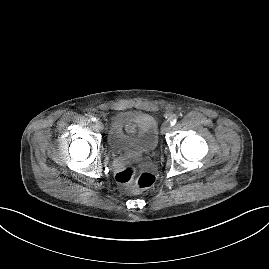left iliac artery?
Listing matches in <instances>:
<instances>
[{
    "label": "left iliac artery",
    "mask_w": 269,
    "mask_h": 269,
    "mask_svg": "<svg viewBox=\"0 0 269 269\" xmlns=\"http://www.w3.org/2000/svg\"><path fill=\"white\" fill-rule=\"evenodd\" d=\"M176 122H177V119L175 118V119H173V120L171 121L170 125H171V126H174V125L176 124Z\"/></svg>",
    "instance_id": "left-iliac-artery-1"
}]
</instances>
